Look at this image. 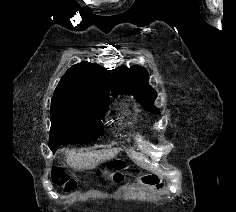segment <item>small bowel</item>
Wrapping results in <instances>:
<instances>
[{"instance_id":"c3829d8e","label":"small bowel","mask_w":236,"mask_h":212,"mask_svg":"<svg viewBox=\"0 0 236 212\" xmlns=\"http://www.w3.org/2000/svg\"><path fill=\"white\" fill-rule=\"evenodd\" d=\"M130 179L143 180V182L151 188H162L160 181L151 176L137 175L130 176ZM119 180H129V175H119ZM137 180H133V183H137ZM126 197H132V194H126Z\"/></svg>"}]
</instances>
